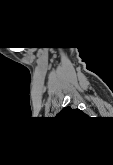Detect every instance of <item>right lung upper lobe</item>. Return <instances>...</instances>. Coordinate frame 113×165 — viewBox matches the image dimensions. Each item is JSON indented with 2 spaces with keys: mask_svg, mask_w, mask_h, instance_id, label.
I'll return each mask as SVG.
<instances>
[{
  "mask_svg": "<svg viewBox=\"0 0 113 165\" xmlns=\"http://www.w3.org/2000/svg\"><path fill=\"white\" fill-rule=\"evenodd\" d=\"M85 117L86 114L83 113L80 109H72L70 106L63 108L58 114L57 117L62 118H78V117Z\"/></svg>",
  "mask_w": 113,
  "mask_h": 165,
  "instance_id": "cb5924a9",
  "label": "right lung upper lobe"
}]
</instances>
